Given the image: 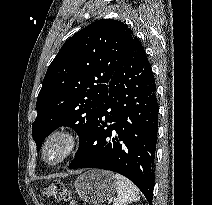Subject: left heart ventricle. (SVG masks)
I'll use <instances>...</instances> for the list:
<instances>
[{"mask_svg":"<svg viewBox=\"0 0 212 205\" xmlns=\"http://www.w3.org/2000/svg\"><path fill=\"white\" fill-rule=\"evenodd\" d=\"M58 153H59V148L57 146H54L49 151V157L55 158L58 155Z\"/></svg>","mask_w":212,"mask_h":205,"instance_id":"obj_1","label":"left heart ventricle"}]
</instances>
